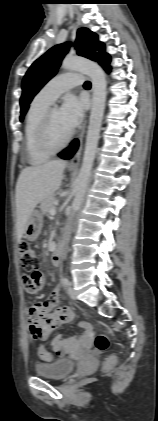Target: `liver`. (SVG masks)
<instances>
[{"mask_svg":"<svg viewBox=\"0 0 158 421\" xmlns=\"http://www.w3.org/2000/svg\"><path fill=\"white\" fill-rule=\"evenodd\" d=\"M66 162L54 160L24 168L16 184L17 238L25 233L35 207L60 187Z\"/></svg>","mask_w":158,"mask_h":421,"instance_id":"liver-1","label":"liver"}]
</instances>
